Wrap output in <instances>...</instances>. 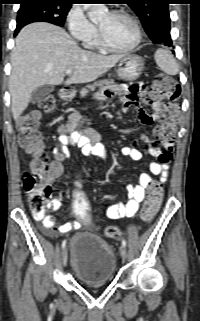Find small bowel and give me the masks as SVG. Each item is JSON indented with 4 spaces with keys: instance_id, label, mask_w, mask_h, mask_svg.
I'll return each instance as SVG.
<instances>
[{
    "instance_id": "c3829d8e",
    "label": "small bowel",
    "mask_w": 200,
    "mask_h": 321,
    "mask_svg": "<svg viewBox=\"0 0 200 321\" xmlns=\"http://www.w3.org/2000/svg\"><path fill=\"white\" fill-rule=\"evenodd\" d=\"M146 89V83L128 82L127 84H124V86L115 87L106 91L105 95L107 97H112L115 94H119L123 97V101L126 102V108L134 106L138 110L139 119L143 124L152 125L159 119L164 118L165 107L161 103L152 102L151 107L153 113H148L145 109L141 108L136 100L138 96H145ZM154 134L159 139L158 126L155 128ZM101 138L102 134L91 128L76 130L74 119L67 123L59 134L57 145L52 152L55 159L53 163L57 165L59 169L54 180L62 173V161L65 158L64 147L66 145L79 147L86 156H105L106 152L100 144ZM140 139L147 144L145 151L142 152L132 145L123 147L121 153L132 160H140L143 155L155 158L149 165L150 173L140 174L137 184L127 185L126 203H116L107 207L106 216L109 219L131 218L137 213L140 203L145 198L146 191L153 182L151 175L158 176L161 183L166 182L168 179L170 161V159L166 158V149L168 148V145L164 141H161L163 146L162 149L158 141H154L146 135H141ZM47 206L51 210H58L61 206V194L50 198L47 202ZM37 219L41 221L43 231L48 235H53L56 232L66 233L80 227V223L76 222V220L57 226L55 218L51 215L37 217Z\"/></svg>"
}]
</instances>
